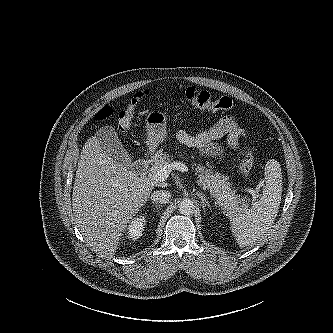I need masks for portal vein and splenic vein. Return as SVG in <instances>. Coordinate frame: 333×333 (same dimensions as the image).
Segmentation results:
<instances>
[{"instance_id":"18ae733b","label":"portal vein and splenic vein","mask_w":333,"mask_h":333,"mask_svg":"<svg viewBox=\"0 0 333 333\" xmlns=\"http://www.w3.org/2000/svg\"><path fill=\"white\" fill-rule=\"evenodd\" d=\"M172 170H179L182 172H188V167L181 163V162H172V163H167L164 164L163 166H161V168L159 170H157L156 172L152 173L149 175V180L154 182V183H158V182H163L165 181L169 174L171 173ZM262 186V182H259V184L257 185V187L255 189L253 188H246L245 190L250 193L254 199L257 198V194L260 190Z\"/></svg>"}]
</instances>
